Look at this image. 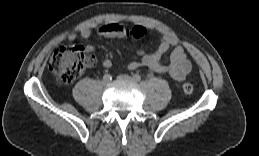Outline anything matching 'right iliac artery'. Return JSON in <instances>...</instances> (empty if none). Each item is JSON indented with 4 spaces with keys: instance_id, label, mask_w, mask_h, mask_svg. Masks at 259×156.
Returning a JSON list of instances; mask_svg holds the SVG:
<instances>
[{
    "instance_id": "1",
    "label": "right iliac artery",
    "mask_w": 259,
    "mask_h": 156,
    "mask_svg": "<svg viewBox=\"0 0 259 156\" xmlns=\"http://www.w3.org/2000/svg\"><path fill=\"white\" fill-rule=\"evenodd\" d=\"M103 79H105V80H111V79H112V76H111L110 74H105V75L103 76Z\"/></svg>"
}]
</instances>
